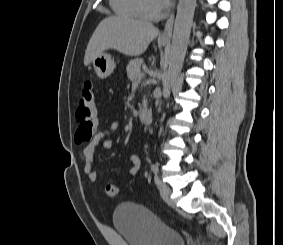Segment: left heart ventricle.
I'll use <instances>...</instances> for the list:
<instances>
[{
  "label": "left heart ventricle",
  "mask_w": 283,
  "mask_h": 245,
  "mask_svg": "<svg viewBox=\"0 0 283 245\" xmlns=\"http://www.w3.org/2000/svg\"><path fill=\"white\" fill-rule=\"evenodd\" d=\"M145 8L151 12H157L162 9V6L157 0H143Z\"/></svg>",
  "instance_id": "obj_1"
}]
</instances>
